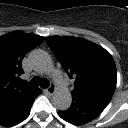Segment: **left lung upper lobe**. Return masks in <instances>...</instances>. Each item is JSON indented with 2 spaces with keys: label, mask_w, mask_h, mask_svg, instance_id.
<instances>
[{
  "label": "left lung upper lobe",
  "mask_w": 128,
  "mask_h": 128,
  "mask_svg": "<svg viewBox=\"0 0 128 128\" xmlns=\"http://www.w3.org/2000/svg\"><path fill=\"white\" fill-rule=\"evenodd\" d=\"M70 78L72 97L110 101L116 87V65L104 48L81 38H45Z\"/></svg>",
  "instance_id": "left-lung-upper-lobe-1"
}]
</instances>
